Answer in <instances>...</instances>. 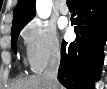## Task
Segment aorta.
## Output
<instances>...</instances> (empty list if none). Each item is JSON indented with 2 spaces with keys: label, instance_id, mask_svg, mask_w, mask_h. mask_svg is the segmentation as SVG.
Masks as SVG:
<instances>
[{
  "label": "aorta",
  "instance_id": "obj_1",
  "mask_svg": "<svg viewBox=\"0 0 107 89\" xmlns=\"http://www.w3.org/2000/svg\"><path fill=\"white\" fill-rule=\"evenodd\" d=\"M52 10V0H37L36 1V12L37 15L42 19H47Z\"/></svg>",
  "mask_w": 107,
  "mask_h": 89
}]
</instances>
